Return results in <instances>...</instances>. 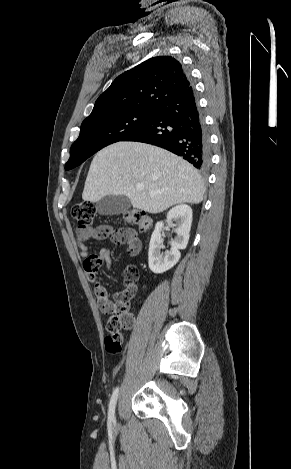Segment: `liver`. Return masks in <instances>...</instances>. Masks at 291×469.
<instances>
[{
    "instance_id": "obj_1",
    "label": "liver",
    "mask_w": 291,
    "mask_h": 469,
    "mask_svg": "<svg viewBox=\"0 0 291 469\" xmlns=\"http://www.w3.org/2000/svg\"><path fill=\"white\" fill-rule=\"evenodd\" d=\"M137 184L144 189L137 190ZM204 193L201 176L182 158L149 144L120 141L95 155L82 198L98 202L107 195L126 196L134 208L155 214L177 204H199Z\"/></svg>"
}]
</instances>
